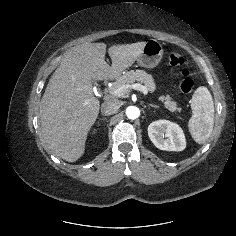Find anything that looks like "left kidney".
<instances>
[{
  "instance_id": "obj_1",
  "label": "left kidney",
  "mask_w": 236,
  "mask_h": 236,
  "mask_svg": "<svg viewBox=\"0 0 236 236\" xmlns=\"http://www.w3.org/2000/svg\"><path fill=\"white\" fill-rule=\"evenodd\" d=\"M148 136L160 150L182 151L186 140L181 127L168 120H158L148 126Z\"/></svg>"
}]
</instances>
